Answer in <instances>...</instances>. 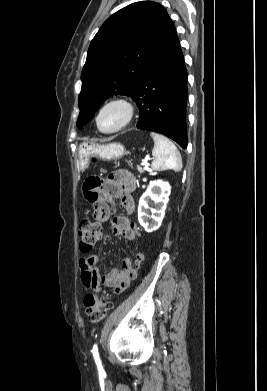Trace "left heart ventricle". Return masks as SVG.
<instances>
[{
	"label": "left heart ventricle",
	"instance_id": "obj_1",
	"mask_svg": "<svg viewBox=\"0 0 267 391\" xmlns=\"http://www.w3.org/2000/svg\"><path fill=\"white\" fill-rule=\"evenodd\" d=\"M125 117L124 109L118 105L107 107L100 116V127L105 131H110L119 127Z\"/></svg>",
	"mask_w": 267,
	"mask_h": 391
}]
</instances>
